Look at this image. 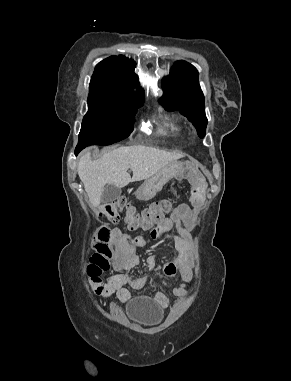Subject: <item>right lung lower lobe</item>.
Returning <instances> with one entry per match:
<instances>
[{"label":"right lung lower lobe","mask_w":291,"mask_h":381,"mask_svg":"<svg viewBox=\"0 0 291 381\" xmlns=\"http://www.w3.org/2000/svg\"><path fill=\"white\" fill-rule=\"evenodd\" d=\"M81 150H82V148L77 146L75 149V155H77Z\"/></svg>","instance_id":"98d812e1"}]
</instances>
